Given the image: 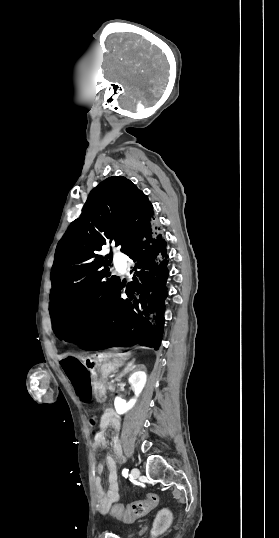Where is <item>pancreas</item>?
Returning a JSON list of instances; mask_svg holds the SVG:
<instances>
[{"label": "pancreas", "instance_id": "cf45deb5", "mask_svg": "<svg viewBox=\"0 0 279 538\" xmlns=\"http://www.w3.org/2000/svg\"><path fill=\"white\" fill-rule=\"evenodd\" d=\"M114 387H117V384H115V381L113 379H110L108 381V392L113 393L115 391Z\"/></svg>", "mask_w": 279, "mask_h": 538}]
</instances>
